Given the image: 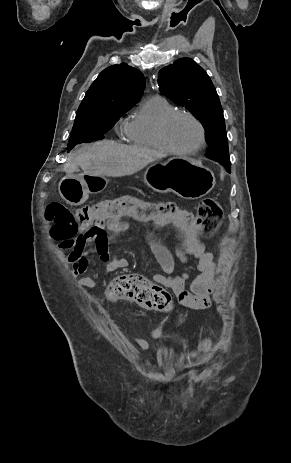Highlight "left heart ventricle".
I'll return each instance as SVG.
<instances>
[{
    "instance_id": "b2bd125f",
    "label": "left heart ventricle",
    "mask_w": 291,
    "mask_h": 463,
    "mask_svg": "<svg viewBox=\"0 0 291 463\" xmlns=\"http://www.w3.org/2000/svg\"><path fill=\"white\" fill-rule=\"evenodd\" d=\"M167 135L175 147L189 149L197 145L200 138L198 126L189 118L180 116L169 125Z\"/></svg>"
}]
</instances>
